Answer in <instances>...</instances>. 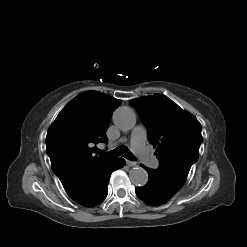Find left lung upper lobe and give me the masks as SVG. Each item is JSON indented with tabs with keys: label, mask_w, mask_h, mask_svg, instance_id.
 Listing matches in <instances>:
<instances>
[{
	"label": "left lung upper lobe",
	"mask_w": 247,
	"mask_h": 247,
	"mask_svg": "<svg viewBox=\"0 0 247 247\" xmlns=\"http://www.w3.org/2000/svg\"><path fill=\"white\" fill-rule=\"evenodd\" d=\"M148 130L149 142L156 148L159 169L183 186L199 156L201 125L189 112L161 94L130 100Z\"/></svg>",
	"instance_id": "1"
}]
</instances>
